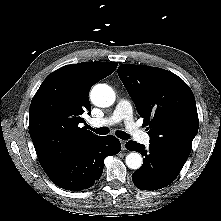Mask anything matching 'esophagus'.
<instances>
[{"mask_svg": "<svg viewBox=\"0 0 221 221\" xmlns=\"http://www.w3.org/2000/svg\"><path fill=\"white\" fill-rule=\"evenodd\" d=\"M122 150H126V141L121 140Z\"/></svg>", "mask_w": 221, "mask_h": 221, "instance_id": "obj_1", "label": "esophagus"}]
</instances>
